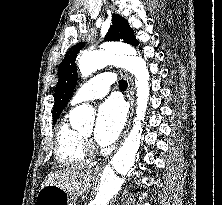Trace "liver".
<instances>
[{"instance_id": "obj_1", "label": "liver", "mask_w": 222, "mask_h": 205, "mask_svg": "<svg viewBox=\"0 0 222 205\" xmlns=\"http://www.w3.org/2000/svg\"><path fill=\"white\" fill-rule=\"evenodd\" d=\"M92 171L67 168L51 172L42 183L43 186L56 185L70 196H80L89 191L92 183Z\"/></svg>"}]
</instances>
